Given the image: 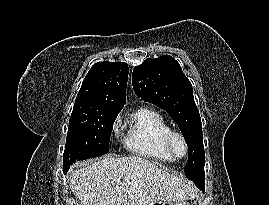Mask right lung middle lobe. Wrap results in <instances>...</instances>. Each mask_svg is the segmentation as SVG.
<instances>
[{
    "instance_id": "right-lung-middle-lobe-1",
    "label": "right lung middle lobe",
    "mask_w": 269,
    "mask_h": 205,
    "mask_svg": "<svg viewBox=\"0 0 269 205\" xmlns=\"http://www.w3.org/2000/svg\"><path fill=\"white\" fill-rule=\"evenodd\" d=\"M117 114L73 111L69 121L63 168L79 160L98 157L108 152L110 135Z\"/></svg>"
}]
</instances>
